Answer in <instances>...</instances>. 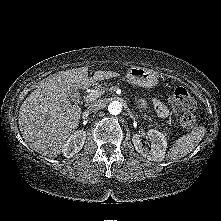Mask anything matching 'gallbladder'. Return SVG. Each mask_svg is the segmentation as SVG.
<instances>
[{
	"label": "gallbladder",
	"instance_id": "bac80fb5",
	"mask_svg": "<svg viewBox=\"0 0 221 221\" xmlns=\"http://www.w3.org/2000/svg\"><path fill=\"white\" fill-rule=\"evenodd\" d=\"M69 95H70L71 99L74 101L78 98V92L75 89H71Z\"/></svg>",
	"mask_w": 221,
	"mask_h": 221
}]
</instances>
